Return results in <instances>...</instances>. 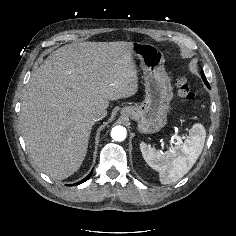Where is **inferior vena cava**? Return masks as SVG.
Returning a JSON list of instances; mask_svg holds the SVG:
<instances>
[{
    "instance_id": "inferior-vena-cava-1",
    "label": "inferior vena cava",
    "mask_w": 236,
    "mask_h": 236,
    "mask_svg": "<svg viewBox=\"0 0 236 236\" xmlns=\"http://www.w3.org/2000/svg\"><path fill=\"white\" fill-rule=\"evenodd\" d=\"M107 112L104 109L95 108L90 112V118L96 122L103 119L106 116Z\"/></svg>"
}]
</instances>
